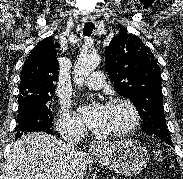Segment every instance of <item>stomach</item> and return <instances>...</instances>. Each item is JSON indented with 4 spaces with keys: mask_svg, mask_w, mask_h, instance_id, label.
<instances>
[{
    "mask_svg": "<svg viewBox=\"0 0 183 179\" xmlns=\"http://www.w3.org/2000/svg\"><path fill=\"white\" fill-rule=\"evenodd\" d=\"M96 156L100 164L125 176L140 173L150 158L146 147L134 139L102 143L96 149Z\"/></svg>",
    "mask_w": 183,
    "mask_h": 179,
    "instance_id": "0dacf381",
    "label": "stomach"
}]
</instances>
